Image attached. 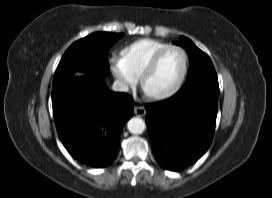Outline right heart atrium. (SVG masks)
Returning <instances> with one entry per match:
<instances>
[{"instance_id": "right-heart-atrium-1", "label": "right heart atrium", "mask_w": 272, "mask_h": 198, "mask_svg": "<svg viewBox=\"0 0 272 198\" xmlns=\"http://www.w3.org/2000/svg\"><path fill=\"white\" fill-rule=\"evenodd\" d=\"M109 68L122 90L128 91L135 86L138 78L129 70L121 57L112 56L109 59Z\"/></svg>"}]
</instances>
